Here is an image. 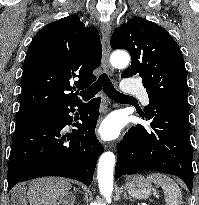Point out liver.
Returning <instances> with one entry per match:
<instances>
[{
  "instance_id": "6515ba94",
  "label": "liver",
  "mask_w": 199,
  "mask_h": 205,
  "mask_svg": "<svg viewBox=\"0 0 199 205\" xmlns=\"http://www.w3.org/2000/svg\"><path fill=\"white\" fill-rule=\"evenodd\" d=\"M71 184L63 178H39L30 182L22 202L29 205H72L74 196L70 193ZM20 186L16 187L13 198Z\"/></svg>"
}]
</instances>
